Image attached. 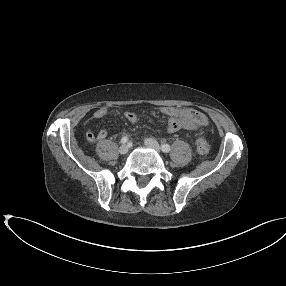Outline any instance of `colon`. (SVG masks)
<instances>
[{"instance_id": "obj_1", "label": "colon", "mask_w": 286, "mask_h": 286, "mask_svg": "<svg viewBox=\"0 0 286 286\" xmlns=\"http://www.w3.org/2000/svg\"><path fill=\"white\" fill-rule=\"evenodd\" d=\"M196 149L199 154L206 155L209 151V144L204 138L199 137L196 140Z\"/></svg>"}]
</instances>
